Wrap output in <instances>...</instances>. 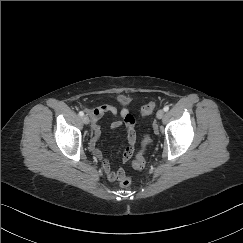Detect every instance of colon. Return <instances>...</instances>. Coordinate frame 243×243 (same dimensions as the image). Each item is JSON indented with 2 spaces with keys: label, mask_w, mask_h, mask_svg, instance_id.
<instances>
[{
  "label": "colon",
  "mask_w": 243,
  "mask_h": 243,
  "mask_svg": "<svg viewBox=\"0 0 243 243\" xmlns=\"http://www.w3.org/2000/svg\"><path fill=\"white\" fill-rule=\"evenodd\" d=\"M156 107V103L151 101L142 107V114L144 116L149 115ZM151 142V138L148 134H145L141 139V148L136 154V158L132 162V167L135 169H142L145 166V152L148 144ZM119 185L123 188H127L131 185V179L129 177H122L119 180Z\"/></svg>",
  "instance_id": "1"
}]
</instances>
